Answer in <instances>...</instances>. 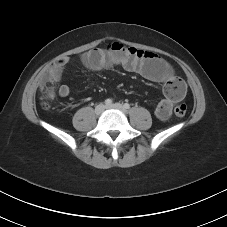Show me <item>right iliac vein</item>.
Returning <instances> with one entry per match:
<instances>
[{
    "label": "right iliac vein",
    "mask_w": 227,
    "mask_h": 227,
    "mask_svg": "<svg viewBox=\"0 0 227 227\" xmlns=\"http://www.w3.org/2000/svg\"><path fill=\"white\" fill-rule=\"evenodd\" d=\"M105 105L104 104H99V105H97L96 107H95V113L97 114V115H100V114H102L103 112H104V110H105Z\"/></svg>",
    "instance_id": "63e3f726"
}]
</instances>
